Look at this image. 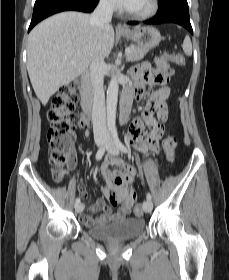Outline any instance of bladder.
<instances>
[{"mask_svg":"<svg viewBox=\"0 0 229 280\" xmlns=\"http://www.w3.org/2000/svg\"><path fill=\"white\" fill-rule=\"evenodd\" d=\"M86 231L99 239H133L144 233L146 221L142 218L123 217L108 223L85 225Z\"/></svg>","mask_w":229,"mask_h":280,"instance_id":"1","label":"bladder"}]
</instances>
